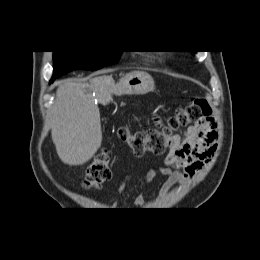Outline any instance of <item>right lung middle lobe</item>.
I'll use <instances>...</instances> for the list:
<instances>
[{"mask_svg":"<svg viewBox=\"0 0 260 260\" xmlns=\"http://www.w3.org/2000/svg\"><path fill=\"white\" fill-rule=\"evenodd\" d=\"M54 73L51 83L75 69L96 70L118 61L121 51H53Z\"/></svg>","mask_w":260,"mask_h":260,"instance_id":"obj_1","label":"right lung middle lobe"}]
</instances>
